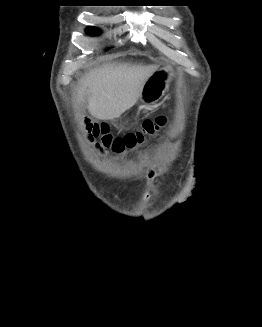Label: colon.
<instances>
[{
  "mask_svg": "<svg viewBox=\"0 0 262 327\" xmlns=\"http://www.w3.org/2000/svg\"><path fill=\"white\" fill-rule=\"evenodd\" d=\"M165 123L166 117L163 115L146 119L141 129L124 136L112 135L105 123L86 120L84 126L88 140L96 141L98 148L102 150L109 149L114 153H122L127 149L141 145L147 138H157Z\"/></svg>",
  "mask_w": 262,
  "mask_h": 327,
  "instance_id": "1",
  "label": "colon"
}]
</instances>
